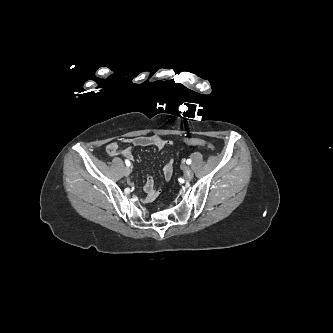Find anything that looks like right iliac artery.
<instances>
[{"instance_id": "right-iliac-artery-1", "label": "right iliac artery", "mask_w": 333, "mask_h": 333, "mask_svg": "<svg viewBox=\"0 0 333 333\" xmlns=\"http://www.w3.org/2000/svg\"><path fill=\"white\" fill-rule=\"evenodd\" d=\"M125 164H126L127 167H129L131 165L129 160H125Z\"/></svg>"}]
</instances>
